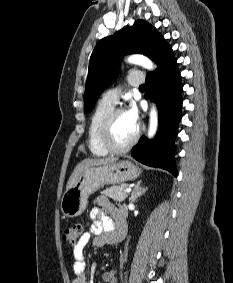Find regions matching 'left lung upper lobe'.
<instances>
[{"instance_id": "5c2ea615", "label": "left lung upper lobe", "mask_w": 233, "mask_h": 283, "mask_svg": "<svg viewBox=\"0 0 233 283\" xmlns=\"http://www.w3.org/2000/svg\"><path fill=\"white\" fill-rule=\"evenodd\" d=\"M171 46L148 22L137 20L95 46L89 64L85 88V113L91 112L96 100L117 76L120 61L126 54L141 53L156 64Z\"/></svg>"}]
</instances>
